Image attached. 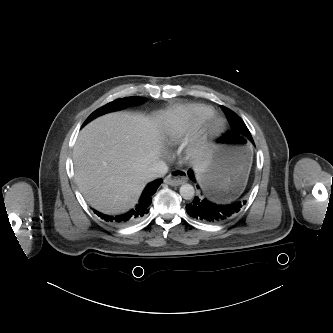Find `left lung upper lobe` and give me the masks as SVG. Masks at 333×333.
<instances>
[{"label": "left lung upper lobe", "mask_w": 333, "mask_h": 333, "mask_svg": "<svg viewBox=\"0 0 333 333\" xmlns=\"http://www.w3.org/2000/svg\"><path fill=\"white\" fill-rule=\"evenodd\" d=\"M223 110L226 112L228 116V120L231 125V133L234 137L237 138H247L251 142H253L252 136L245 125L244 121L232 110L228 109L227 107L222 106Z\"/></svg>", "instance_id": "5c2ea615"}]
</instances>
